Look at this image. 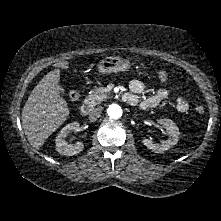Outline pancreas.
Instances as JSON below:
<instances>
[{"label":"pancreas","instance_id":"cf45deb5","mask_svg":"<svg viewBox=\"0 0 221 221\" xmlns=\"http://www.w3.org/2000/svg\"><path fill=\"white\" fill-rule=\"evenodd\" d=\"M107 93L108 90L106 88L100 87L86 97L85 103L90 107L100 104L109 97Z\"/></svg>","mask_w":221,"mask_h":221}]
</instances>
